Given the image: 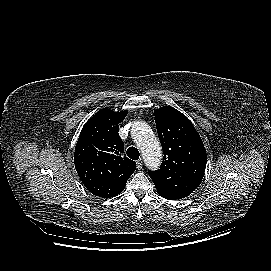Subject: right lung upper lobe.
I'll use <instances>...</instances> for the list:
<instances>
[{
	"label": "right lung upper lobe",
	"instance_id": "cb5924a9",
	"mask_svg": "<svg viewBox=\"0 0 271 271\" xmlns=\"http://www.w3.org/2000/svg\"><path fill=\"white\" fill-rule=\"evenodd\" d=\"M126 115L127 111L104 108L84 125L74 153L75 168L84 185L105 183L124 188L135 171L136 163L123 156L124 144L118 134Z\"/></svg>",
	"mask_w": 271,
	"mask_h": 271
}]
</instances>
